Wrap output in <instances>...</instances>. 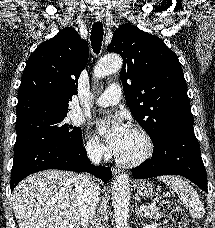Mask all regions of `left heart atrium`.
I'll return each mask as SVG.
<instances>
[{"instance_id":"1","label":"left heart atrium","mask_w":215,"mask_h":228,"mask_svg":"<svg viewBox=\"0 0 215 228\" xmlns=\"http://www.w3.org/2000/svg\"><path fill=\"white\" fill-rule=\"evenodd\" d=\"M97 133L102 136L110 152L119 157L127 149L132 131L125 124L123 117L115 116L113 119L102 120L97 124Z\"/></svg>"}]
</instances>
